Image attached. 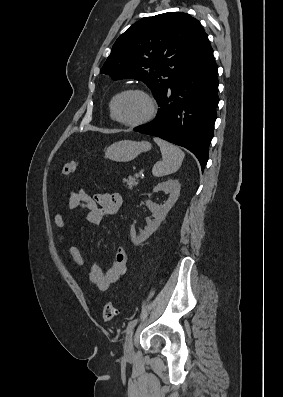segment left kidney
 Wrapping results in <instances>:
<instances>
[{"mask_svg":"<svg viewBox=\"0 0 283 397\" xmlns=\"http://www.w3.org/2000/svg\"><path fill=\"white\" fill-rule=\"evenodd\" d=\"M180 183L178 180L169 179L165 182L159 183L154 187L153 192L164 191L169 194L168 200L163 205H157L150 200L146 201L148 209L153 213L154 220L149 221L144 231L140 235L136 234L135 227L132 225L130 229L131 241L134 245H139L147 240L160 226L165 219L169 210L176 203L180 193Z\"/></svg>","mask_w":283,"mask_h":397,"instance_id":"obj_1","label":"left kidney"}]
</instances>
